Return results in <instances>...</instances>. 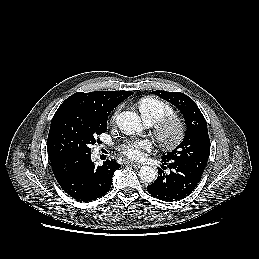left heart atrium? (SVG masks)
<instances>
[{
    "instance_id": "1",
    "label": "left heart atrium",
    "mask_w": 259,
    "mask_h": 259,
    "mask_svg": "<svg viewBox=\"0 0 259 259\" xmlns=\"http://www.w3.org/2000/svg\"><path fill=\"white\" fill-rule=\"evenodd\" d=\"M150 146L147 140H128L120 146L119 150L124 156L132 160H139L143 158V151L149 150Z\"/></svg>"
}]
</instances>
